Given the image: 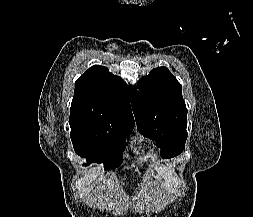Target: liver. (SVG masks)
<instances>
[{
	"label": "liver",
	"instance_id": "6515ba94",
	"mask_svg": "<svg viewBox=\"0 0 253 217\" xmlns=\"http://www.w3.org/2000/svg\"><path fill=\"white\" fill-rule=\"evenodd\" d=\"M107 205H109V203L108 202H104V206H107Z\"/></svg>",
	"mask_w": 253,
	"mask_h": 217
}]
</instances>
